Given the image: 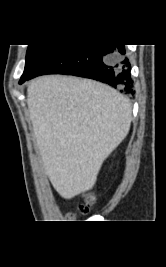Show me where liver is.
Instances as JSON below:
<instances>
[{
  "mask_svg": "<svg viewBox=\"0 0 166 267\" xmlns=\"http://www.w3.org/2000/svg\"><path fill=\"white\" fill-rule=\"evenodd\" d=\"M27 105L54 189L65 199L91 190L104 160L129 132V101L96 81L48 75L28 86Z\"/></svg>",
  "mask_w": 166,
  "mask_h": 267,
  "instance_id": "obj_1",
  "label": "liver"
}]
</instances>
